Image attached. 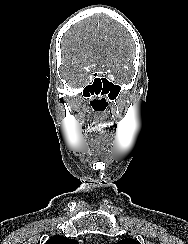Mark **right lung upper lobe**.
<instances>
[{"label":"right lung upper lobe","instance_id":"1","mask_svg":"<svg viewBox=\"0 0 188 244\" xmlns=\"http://www.w3.org/2000/svg\"><path fill=\"white\" fill-rule=\"evenodd\" d=\"M45 244H78L75 239H69L63 236L51 237Z\"/></svg>","mask_w":188,"mask_h":244}]
</instances>
